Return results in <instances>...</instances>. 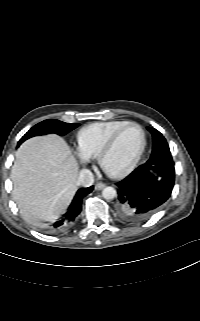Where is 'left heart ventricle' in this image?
Listing matches in <instances>:
<instances>
[{
    "instance_id": "obj_1",
    "label": "left heart ventricle",
    "mask_w": 200,
    "mask_h": 321,
    "mask_svg": "<svg viewBox=\"0 0 200 321\" xmlns=\"http://www.w3.org/2000/svg\"><path fill=\"white\" fill-rule=\"evenodd\" d=\"M142 142V134L137 127H129L119 136L115 146L105 157L104 165L111 172L126 168L136 155Z\"/></svg>"
}]
</instances>
